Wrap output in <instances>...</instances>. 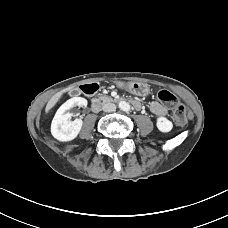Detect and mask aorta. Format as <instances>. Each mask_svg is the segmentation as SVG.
Returning a JSON list of instances; mask_svg holds the SVG:
<instances>
[{"mask_svg":"<svg viewBox=\"0 0 228 228\" xmlns=\"http://www.w3.org/2000/svg\"><path fill=\"white\" fill-rule=\"evenodd\" d=\"M120 108L124 111H128L130 109V105L127 102L120 103Z\"/></svg>","mask_w":228,"mask_h":228,"instance_id":"aorta-1","label":"aorta"}]
</instances>
